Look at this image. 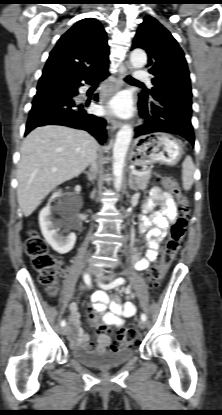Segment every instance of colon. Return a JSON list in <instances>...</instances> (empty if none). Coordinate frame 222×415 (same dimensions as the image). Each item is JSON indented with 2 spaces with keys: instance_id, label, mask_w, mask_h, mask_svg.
Instances as JSON below:
<instances>
[{
  "instance_id": "5ec220e1",
  "label": "colon",
  "mask_w": 222,
  "mask_h": 415,
  "mask_svg": "<svg viewBox=\"0 0 222 415\" xmlns=\"http://www.w3.org/2000/svg\"><path fill=\"white\" fill-rule=\"evenodd\" d=\"M161 182L163 186L176 197L180 214L169 229L168 238L160 258L147 275V283L152 289L159 287L176 257L182 238L185 234L187 215L189 213L188 200L177 182L169 176L162 177ZM26 252L31 257L34 268L40 273L41 283L47 287L48 292L51 295H54L57 290L56 279L58 272L56 258L48 252L45 242L34 232H31L26 240ZM89 315L98 331H108L109 327L99 317L100 312L96 307L93 306L90 309ZM139 340L140 336L137 331L131 329L123 330L118 333L110 347L111 349H118Z\"/></svg>"
}]
</instances>
